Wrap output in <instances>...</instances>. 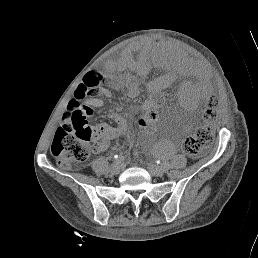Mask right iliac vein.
Instances as JSON below:
<instances>
[{"mask_svg":"<svg viewBox=\"0 0 258 258\" xmlns=\"http://www.w3.org/2000/svg\"><path fill=\"white\" fill-rule=\"evenodd\" d=\"M121 171V165L119 163L113 164L111 166V173L118 174Z\"/></svg>","mask_w":258,"mask_h":258,"instance_id":"63e3f726","label":"right iliac vein"}]
</instances>
